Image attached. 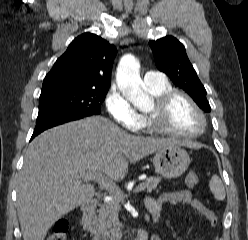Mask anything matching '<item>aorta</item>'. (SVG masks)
Returning <instances> with one entry per match:
<instances>
[{
	"label": "aorta",
	"instance_id": "762f6f07",
	"mask_svg": "<svg viewBox=\"0 0 248 240\" xmlns=\"http://www.w3.org/2000/svg\"><path fill=\"white\" fill-rule=\"evenodd\" d=\"M139 70V61L131 54L124 55L118 64L116 81L123 96L133 105L141 108L150 100L141 88Z\"/></svg>",
	"mask_w": 248,
	"mask_h": 240
}]
</instances>
